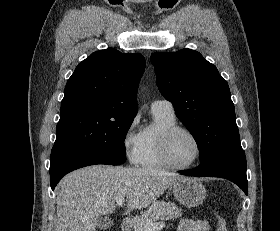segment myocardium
Masks as SVG:
<instances>
[{"label":"myocardium","mask_w":280,"mask_h":231,"mask_svg":"<svg viewBox=\"0 0 280 231\" xmlns=\"http://www.w3.org/2000/svg\"><path fill=\"white\" fill-rule=\"evenodd\" d=\"M179 132H184L189 134L197 144V157L195 161L188 165H178L176 164L170 156V143L172 138ZM158 147L159 155L162 161L170 168L176 170H187L191 169L199 164L203 156V144L197 134L190 128L175 125L163 128L158 136Z\"/></svg>","instance_id":"myocardium-1"}]
</instances>
